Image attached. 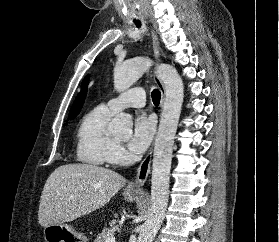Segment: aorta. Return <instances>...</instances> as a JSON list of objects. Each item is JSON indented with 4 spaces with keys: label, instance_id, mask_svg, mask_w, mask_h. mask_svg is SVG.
I'll return each mask as SVG.
<instances>
[{
    "label": "aorta",
    "instance_id": "obj_1",
    "mask_svg": "<svg viewBox=\"0 0 279 242\" xmlns=\"http://www.w3.org/2000/svg\"><path fill=\"white\" fill-rule=\"evenodd\" d=\"M151 64L152 61L149 58L137 57L116 65L115 89L121 92L131 87ZM158 74L165 87V101L154 145L151 206L137 242H152L165 216L169 197L173 145L184 98L183 81L173 66L161 64ZM132 126L131 116L120 113L110 122L108 131L113 136L127 139L132 134Z\"/></svg>",
    "mask_w": 279,
    "mask_h": 242
}]
</instances>
